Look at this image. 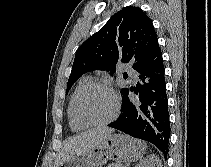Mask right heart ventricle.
<instances>
[{
	"label": "right heart ventricle",
	"instance_id": "1",
	"mask_svg": "<svg viewBox=\"0 0 211 167\" xmlns=\"http://www.w3.org/2000/svg\"><path fill=\"white\" fill-rule=\"evenodd\" d=\"M89 82V78L88 77H82L76 87L74 88L70 98H69V102H68V106H67V117H68V122H69V125H70V128L73 130V131H81L83 129L86 128V126L84 125H81L80 123H78L74 116H73V102H74V98L76 96V94L78 93V91L85 85Z\"/></svg>",
	"mask_w": 211,
	"mask_h": 167
}]
</instances>
